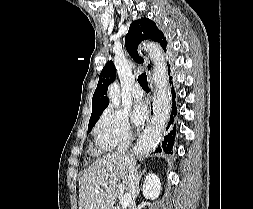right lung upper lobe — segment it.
Instances as JSON below:
<instances>
[{
    "label": "right lung upper lobe",
    "instance_id": "1",
    "mask_svg": "<svg viewBox=\"0 0 253 209\" xmlns=\"http://www.w3.org/2000/svg\"><path fill=\"white\" fill-rule=\"evenodd\" d=\"M143 40H151L160 43L166 52L167 41L164 34L157 28L156 24L150 19L141 18L134 21L125 36V46L131 57L138 63H143L144 59L139 56L138 45ZM116 69L114 63L109 61L102 69L97 88L92 98L91 119L99 118L105 108L109 105L107 88L115 80Z\"/></svg>",
    "mask_w": 253,
    "mask_h": 209
}]
</instances>
